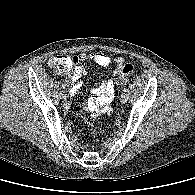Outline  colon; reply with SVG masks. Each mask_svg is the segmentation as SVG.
<instances>
[{
    "mask_svg": "<svg viewBox=\"0 0 195 195\" xmlns=\"http://www.w3.org/2000/svg\"><path fill=\"white\" fill-rule=\"evenodd\" d=\"M72 59L66 55H55L49 60L50 67L59 75L68 73L72 66ZM135 73V67L132 64H126L118 77V83H125L129 76ZM91 125V123H89Z\"/></svg>",
    "mask_w": 195,
    "mask_h": 195,
    "instance_id": "colon-1",
    "label": "colon"
}]
</instances>
